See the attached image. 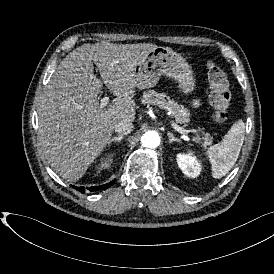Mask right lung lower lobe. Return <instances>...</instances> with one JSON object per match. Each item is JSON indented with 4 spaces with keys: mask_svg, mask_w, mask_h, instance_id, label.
<instances>
[{
    "mask_svg": "<svg viewBox=\"0 0 274 274\" xmlns=\"http://www.w3.org/2000/svg\"><path fill=\"white\" fill-rule=\"evenodd\" d=\"M115 183V180L105 184V185H100V186H95V187H90L88 188L90 191H98L100 189H107L109 188L110 186H112L113 184ZM75 189L81 191V192H84L85 191V188L84 187H76V186H73Z\"/></svg>",
    "mask_w": 274,
    "mask_h": 274,
    "instance_id": "98d812e1",
    "label": "right lung lower lobe"
}]
</instances>
